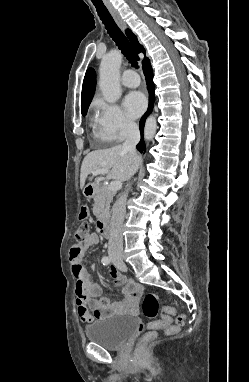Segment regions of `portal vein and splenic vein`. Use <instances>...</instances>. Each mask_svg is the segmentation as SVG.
Here are the masks:
<instances>
[{
	"label": "portal vein and splenic vein",
	"instance_id": "1",
	"mask_svg": "<svg viewBox=\"0 0 249 382\" xmlns=\"http://www.w3.org/2000/svg\"><path fill=\"white\" fill-rule=\"evenodd\" d=\"M107 173H108L107 169H98V170L93 172L94 175L107 174ZM108 187L110 190L116 191L122 187V183H121V181L115 180V181L110 182Z\"/></svg>",
	"mask_w": 249,
	"mask_h": 382
}]
</instances>
